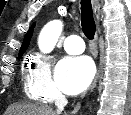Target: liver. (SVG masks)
Segmentation results:
<instances>
[{"label": "liver", "instance_id": "liver-1", "mask_svg": "<svg viewBox=\"0 0 131 115\" xmlns=\"http://www.w3.org/2000/svg\"><path fill=\"white\" fill-rule=\"evenodd\" d=\"M5 115H59L52 108L38 104H13Z\"/></svg>", "mask_w": 131, "mask_h": 115}]
</instances>
